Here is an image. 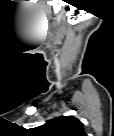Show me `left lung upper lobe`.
Here are the masks:
<instances>
[{"label": "left lung upper lobe", "instance_id": "left-lung-upper-lobe-1", "mask_svg": "<svg viewBox=\"0 0 114 136\" xmlns=\"http://www.w3.org/2000/svg\"><path fill=\"white\" fill-rule=\"evenodd\" d=\"M38 136H84L82 122L74 116H61L34 128Z\"/></svg>", "mask_w": 114, "mask_h": 136}]
</instances>
